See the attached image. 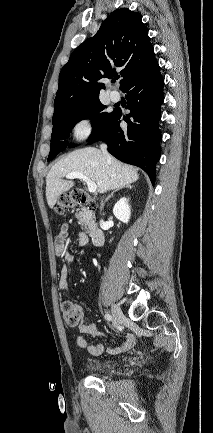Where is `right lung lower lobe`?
<instances>
[{
	"label": "right lung lower lobe",
	"instance_id": "right-lung-lower-lobe-1",
	"mask_svg": "<svg viewBox=\"0 0 213 433\" xmlns=\"http://www.w3.org/2000/svg\"><path fill=\"white\" fill-rule=\"evenodd\" d=\"M163 86L160 67L154 58L121 89L127 93L126 108L130 113L122 116L120 110H115L106 127L89 142L105 141L109 153L142 168L152 184L155 183V165L160 158L158 122L164 99ZM121 118L128 124L125 129L120 127Z\"/></svg>",
	"mask_w": 213,
	"mask_h": 433
}]
</instances>
